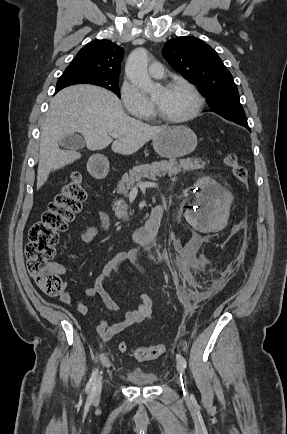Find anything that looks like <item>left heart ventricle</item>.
Returning a JSON list of instances; mask_svg holds the SVG:
<instances>
[{
  "label": "left heart ventricle",
  "mask_w": 287,
  "mask_h": 434,
  "mask_svg": "<svg viewBox=\"0 0 287 434\" xmlns=\"http://www.w3.org/2000/svg\"><path fill=\"white\" fill-rule=\"evenodd\" d=\"M152 99L164 115L172 118L188 114L194 105L193 96L182 87L159 88Z\"/></svg>",
  "instance_id": "left-heart-ventricle-1"
}]
</instances>
